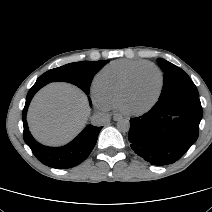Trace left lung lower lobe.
<instances>
[{"instance_id": "1", "label": "left lung lower lobe", "mask_w": 212, "mask_h": 212, "mask_svg": "<svg viewBox=\"0 0 212 212\" xmlns=\"http://www.w3.org/2000/svg\"><path fill=\"white\" fill-rule=\"evenodd\" d=\"M202 115L199 96L174 94L159 99L150 111L130 119L131 148L152 165L172 164L197 140Z\"/></svg>"}]
</instances>
